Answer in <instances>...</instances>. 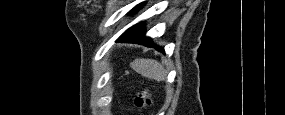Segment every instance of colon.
Listing matches in <instances>:
<instances>
[{
	"label": "colon",
	"mask_w": 285,
	"mask_h": 115,
	"mask_svg": "<svg viewBox=\"0 0 285 115\" xmlns=\"http://www.w3.org/2000/svg\"><path fill=\"white\" fill-rule=\"evenodd\" d=\"M135 105L141 111H144L151 105V98L147 89L141 90L135 98Z\"/></svg>",
	"instance_id": "1"
}]
</instances>
